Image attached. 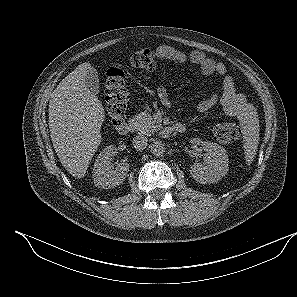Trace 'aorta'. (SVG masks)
I'll use <instances>...</instances> for the list:
<instances>
[{"label": "aorta", "mask_w": 297, "mask_h": 297, "mask_svg": "<svg viewBox=\"0 0 297 297\" xmlns=\"http://www.w3.org/2000/svg\"><path fill=\"white\" fill-rule=\"evenodd\" d=\"M150 150L153 155L161 156L165 152V147L161 141H155L151 144Z\"/></svg>", "instance_id": "1"}]
</instances>
